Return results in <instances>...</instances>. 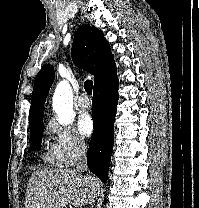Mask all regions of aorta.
I'll return each mask as SVG.
<instances>
[{
  "label": "aorta",
  "mask_w": 199,
  "mask_h": 208,
  "mask_svg": "<svg viewBox=\"0 0 199 208\" xmlns=\"http://www.w3.org/2000/svg\"><path fill=\"white\" fill-rule=\"evenodd\" d=\"M52 107L61 125L67 126L73 121L75 117L73 93L70 85L66 81H61L57 85L53 95Z\"/></svg>",
  "instance_id": "aorta-1"
}]
</instances>
